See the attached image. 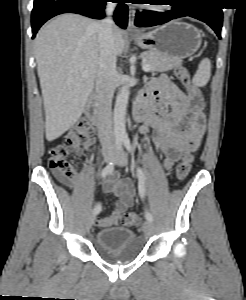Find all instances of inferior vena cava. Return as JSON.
Returning a JSON list of instances; mask_svg holds the SVG:
<instances>
[{"mask_svg": "<svg viewBox=\"0 0 246 300\" xmlns=\"http://www.w3.org/2000/svg\"><path fill=\"white\" fill-rule=\"evenodd\" d=\"M115 3L106 5L107 17L97 23L99 44V69L96 78L98 93L97 128L103 152L116 149V136L112 127V99L116 89V55L113 35L114 22L111 18Z\"/></svg>", "mask_w": 246, "mask_h": 300, "instance_id": "602c4592", "label": "inferior vena cava"}]
</instances>
